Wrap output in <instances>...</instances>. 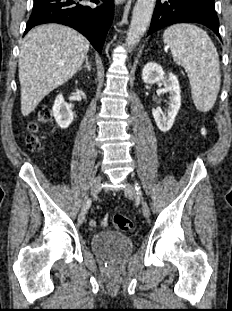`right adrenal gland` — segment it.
Masks as SVG:
<instances>
[{
  "label": "right adrenal gland",
  "instance_id": "right-adrenal-gland-1",
  "mask_svg": "<svg viewBox=\"0 0 232 311\" xmlns=\"http://www.w3.org/2000/svg\"><path fill=\"white\" fill-rule=\"evenodd\" d=\"M82 69H87L89 72L91 71V65L89 63L88 56H86V63L79 70Z\"/></svg>",
  "mask_w": 232,
  "mask_h": 311
}]
</instances>
